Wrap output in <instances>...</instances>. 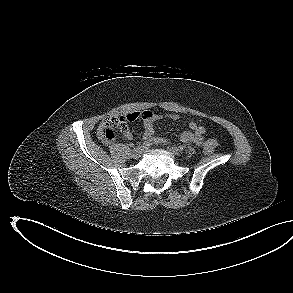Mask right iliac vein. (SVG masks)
<instances>
[{"mask_svg":"<svg viewBox=\"0 0 293 293\" xmlns=\"http://www.w3.org/2000/svg\"><path fill=\"white\" fill-rule=\"evenodd\" d=\"M144 149L141 146H138L136 148L133 149L131 155L134 159H138L141 154L143 153Z\"/></svg>","mask_w":293,"mask_h":293,"instance_id":"obj_1","label":"right iliac vein"}]
</instances>
